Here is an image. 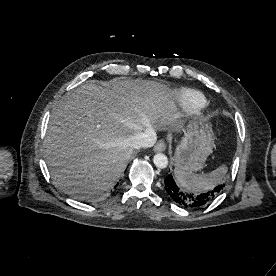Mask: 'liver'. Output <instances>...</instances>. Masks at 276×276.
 I'll list each match as a JSON object with an SVG mask.
<instances>
[{
	"label": "liver",
	"mask_w": 276,
	"mask_h": 276,
	"mask_svg": "<svg viewBox=\"0 0 276 276\" xmlns=\"http://www.w3.org/2000/svg\"><path fill=\"white\" fill-rule=\"evenodd\" d=\"M174 93L164 84L114 79L86 83L54 106L44 142L59 190L79 200L111 189L133 154L129 139L149 129L182 128Z\"/></svg>",
	"instance_id": "obj_1"
}]
</instances>
